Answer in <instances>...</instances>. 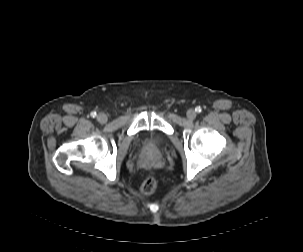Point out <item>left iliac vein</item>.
<instances>
[{"instance_id":"obj_1","label":"left iliac vein","mask_w":303,"mask_h":252,"mask_svg":"<svg viewBox=\"0 0 303 252\" xmlns=\"http://www.w3.org/2000/svg\"><path fill=\"white\" fill-rule=\"evenodd\" d=\"M196 112L193 110V109H190L188 112H187V117L189 120H194L196 118Z\"/></svg>"}]
</instances>
